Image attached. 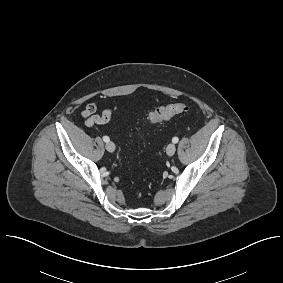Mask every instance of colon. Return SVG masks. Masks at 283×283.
Segmentation results:
<instances>
[{
  "label": "colon",
  "mask_w": 283,
  "mask_h": 283,
  "mask_svg": "<svg viewBox=\"0 0 283 283\" xmlns=\"http://www.w3.org/2000/svg\"><path fill=\"white\" fill-rule=\"evenodd\" d=\"M188 106L183 103H174L157 108L149 113L147 120L152 123H160L169 120L175 115L188 111Z\"/></svg>",
  "instance_id": "colon-1"
}]
</instances>
